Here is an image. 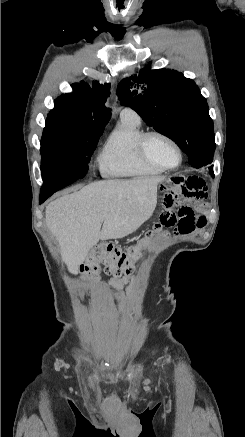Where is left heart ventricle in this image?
Returning a JSON list of instances; mask_svg holds the SVG:
<instances>
[{"mask_svg": "<svg viewBox=\"0 0 245 437\" xmlns=\"http://www.w3.org/2000/svg\"><path fill=\"white\" fill-rule=\"evenodd\" d=\"M147 151L154 160L166 166L176 165L179 159L174 146L160 137L149 139Z\"/></svg>", "mask_w": 245, "mask_h": 437, "instance_id": "obj_1", "label": "left heart ventricle"}]
</instances>
